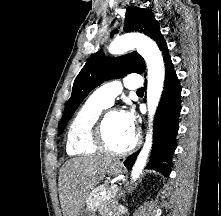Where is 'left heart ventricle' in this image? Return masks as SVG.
<instances>
[{
	"label": "left heart ventricle",
	"instance_id": "left-heart-ventricle-1",
	"mask_svg": "<svg viewBox=\"0 0 221 216\" xmlns=\"http://www.w3.org/2000/svg\"><path fill=\"white\" fill-rule=\"evenodd\" d=\"M105 135L108 144L115 149L128 146L133 138V134L126 128L120 112L111 113L108 116Z\"/></svg>",
	"mask_w": 221,
	"mask_h": 216
}]
</instances>
